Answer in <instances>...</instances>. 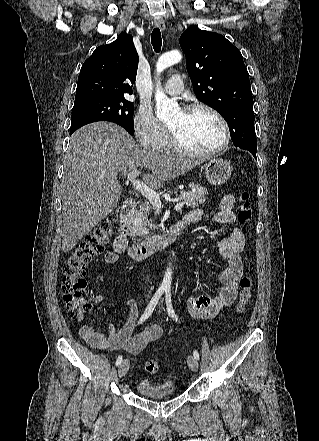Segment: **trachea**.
<instances>
[{
    "label": "trachea",
    "instance_id": "trachea-1",
    "mask_svg": "<svg viewBox=\"0 0 319 441\" xmlns=\"http://www.w3.org/2000/svg\"><path fill=\"white\" fill-rule=\"evenodd\" d=\"M151 43L154 48V51L159 53L162 46V38H161V32L160 29L154 28L151 35Z\"/></svg>",
    "mask_w": 319,
    "mask_h": 441
}]
</instances>
